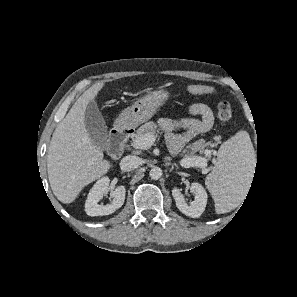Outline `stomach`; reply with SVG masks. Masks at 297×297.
I'll list each match as a JSON object with an SVG mask.
<instances>
[{
	"label": "stomach",
	"mask_w": 297,
	"mask_h": 297,
	"mask_svg": "<svg viewBox=\"0 0 297 297\" xmlns=\"http://www.w3.org/2000/svg\"><path fill=\"white\" fill-rule=\"evenodd\" d=\"M170 97L166 89H157L148 92L136 101L131 107L126 108L115 122L117 128L136 127L150 119Z\"/></svg>",
	"instance_id": "0dacf381"
}]
</instances>
